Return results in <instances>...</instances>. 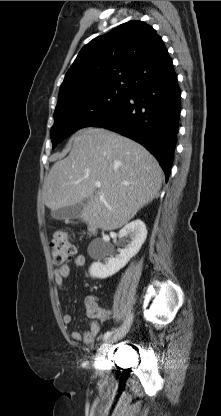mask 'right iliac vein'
Listing matches in <instances>:
<instances>
[{
    "instance_id": "1",
    "label": "right iliac vein",
    "mask_w": 221,
    "mask_h": 416,
    "mask_svg": "<svg viewBox=\"0 0 221 416\" xmlns=\"http://www.w3.org/2000/svg\"><path fill=\"white\" fill-rule=\"evenodd\" d=\"M132 318H133V315L130 314L128 316V318L125 320V322L123 323V325L121 326V328L117 331V333L112 338H110L109 340L105 341L101 345L100 350H99V353L97 355L98 361H100V359L103 358V356L105 355L106 351H108V348L111 346V344L113 342H116L117 340L122 339L126 335V333L128 332V330H129V328L131 326Z\"/></svg>"
}]
</instances>
